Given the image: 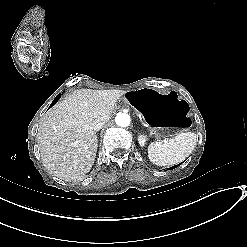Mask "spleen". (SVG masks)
Listing matches in <instances>:
<instances>
[{
  "mask_svg": "<svg viewBox=\"0 0 247 247\" xmlns=\"http://www.w3.org/2000/svg\"><path fill=\"white\" fill-rule=\"evenodd\" d=\"M196 145L194 132H182L167 141H154L149 144L147 151L151 162L158 166L180 163L186 159Z\"/></svg>",
  "mask_w": 247,
  "mask_h": 247,
  "instance_id": "3e777b00",
  "label": "spleen"
}]
</instances>
